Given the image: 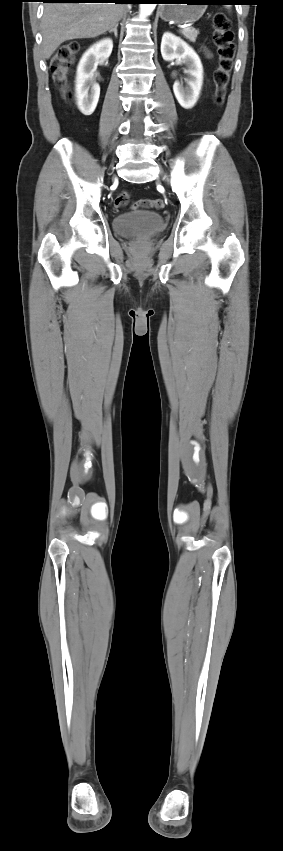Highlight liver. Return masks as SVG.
<instances>
[{"instance_id":"liver-1","label":"liver","mask_w":283,"mask_h":851,"mask_svg":"<svg viewBox=\"0 0 283 851\" xmlns=\"http://www.w3.org/2000/svg\"><path fill=\"white\" fill-rule=\"evenodd\" d=\"M118 3H47L41 29L43 56L49 59L65 41L94 38L112 29L121 19Z\"/></svg>"}]
</instances>
